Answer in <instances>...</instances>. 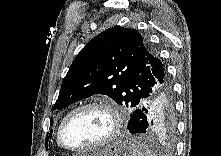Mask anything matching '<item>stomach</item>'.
<instances>
[{
	"label": "stomach",
	"instance_id": "obj_1",
	"mask_svg": "<svg viewBox=\"0 0 221 156\" xmlns=\"http://www.w3.org/2000/svg\"><path fill=\"white\" fill-rule=\"evenodd\" d=\"M89 156H132V151L128 140H118L104 147L95 149Z\"/></svg>",
	"mask_w": 221,
	"mask_h": 156
}]
</instances>
